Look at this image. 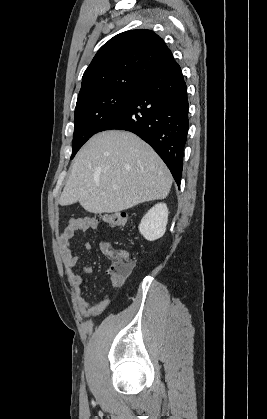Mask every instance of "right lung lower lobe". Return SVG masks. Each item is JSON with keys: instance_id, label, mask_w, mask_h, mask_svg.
<instances>
[{"instance_id": "right-lung-lower-lobe-1", "label": "right lung lower lobe", "mask_w": 267, "mask_h": 419, "mask_svg": "<svg viewBox=\"0 0 267 419\" xmlns=\"http://www.w3.org/2000/svg\"><path fill=\"white\" fill-rule=\"evenodd\" d=\"M187 86L177 62L153 74L101 131L135 133L163 159L180 187L189 129Z\"/></svg>"}]
</instances>
